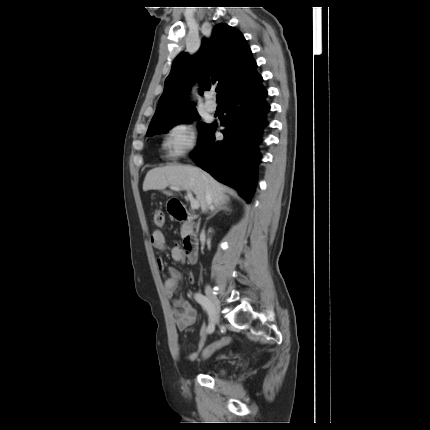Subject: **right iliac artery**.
<instances>
[{
    "instance_id": "1",
    "label": "right iliac artery",
    "mask_w": 430,
    "mask_h": 430,
    "mask_svg": "<svg viewBox=\"0 0 430 430\" xmlns=\"http://www.w3.org/2000/svg\"><path fill=\"white\" fill-rule=\"evenodd\" d=\"M194 298L203 307V309L208 313V315H209V324H208V327H207V332L208 333H212L214 331V329H215V326H214V324L210 320V310H209V301H208V298H206V296H204L201 293H195Z\"/></svg>"
}]
</instances>
